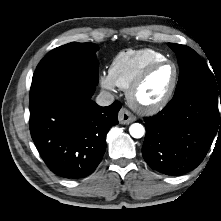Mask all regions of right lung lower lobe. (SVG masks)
Here are the masks:
<instances>
[{
  "label": "right lung lower lobe",
  "instance_id": "98d812e1",
  "mask_svg": "<svg viewBox=\"0 0 221 221\" xmlns=\"http://www.w3.org/2000/svg\"><path fill=\"white\" fill-rule=\"evenodd\" d=\"M96 84L66 77L30 101V132L48 168L66 179L94 172L106 149V134L118 124L119 102L98 106L90 97Z\"/></svg>",
  "mask_w": 221,
  "mask_h": 221
}]
</instances>
